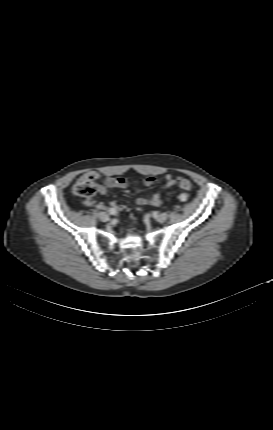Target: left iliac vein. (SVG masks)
<instances>
[{"label":"left iliac vein","instance_id":"obj_1","mask_svg":"<svg viewBox=\"0 0 273 430\" xmlns=\"http://www.w3.org/2000/svg\"><path fill=\"white\" fill-rule=\"evenodd\" d=\"M168 218V214L167 213H161V214H157V215H155V219L158 221V222H164V221H166V219Z\"/></svg>","mask_w":273,"mask_h":430}]
</instances>
